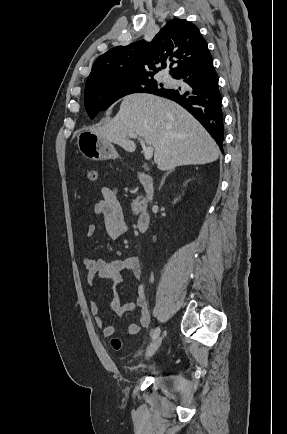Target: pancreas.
Instances as JSON below:
<instances>
[{
    "label": "pancreas",
    "instance_id": "1",
    "mask_svg": "<svg viewBox=\"0 0 287 434\" xmlns=\"http://www.w3.org/2000/svg\"><path fill=\"white\" fill-rule=\"evenodd\" d=\"M142 205V202L140 201V197H137L133 202H132V212L133 214L137 215L140 210L139 207Z\"/></svg>",
    "mask_w": 287,
    "mask_h": 434
}]
</instances>
